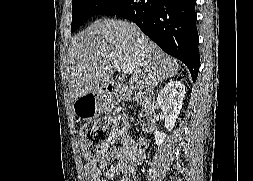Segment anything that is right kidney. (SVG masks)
<instances>
[{"label": "right kidney", "instance_id": "right-kidney-1", "mask_svg": "<svg viewBox=\"0 0 253 181\" xmlns=\"http://www.w3.org/2000/svg\"><path fill=\"white\" fill-rule=\"evenodd\" d=\"M184 94L185 85L180 81L172 80L157 96V103L163 111L165 127L168 131L173 129L176 119L182 109ZM154 136L155 143L158 146L162 145L166 138V135L160 131H156Z\"/></svg>", "mask_w": 253, "mask_h": 181}]
</instances>
